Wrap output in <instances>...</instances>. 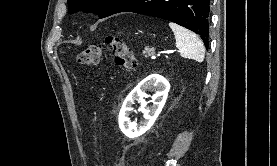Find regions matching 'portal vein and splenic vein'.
<instances>
[{
  "mask_svg": "<svg viewBox=\"0 0 277 166\" xmlns=\"http://www.w3.org/2000/svg\"><path fill=\"white\" fill-rule=\"evenodd\" d=\"M150 56H151L152 59L156 58V56L154 54H150Z\"/></svg>",
  "mask_w": 277,
  "mask_h": 166,
  "instance_id": "obj_1",
  "label": "portal vein and splenic vein"
}]
</instances>
